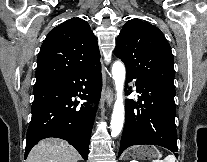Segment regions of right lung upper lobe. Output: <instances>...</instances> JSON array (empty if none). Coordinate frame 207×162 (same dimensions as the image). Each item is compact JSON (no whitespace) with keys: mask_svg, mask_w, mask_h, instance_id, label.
Returning a JSON list of instances; mask_svg holds the SVG:
<instances>
[{"mask_svg":"<svg viewBox=\"0 0 207 162\" xmlns=\"http://www.w3.org/2000/svg\"><path fill=\"white\" fill-rule=\"evenodd\" d=\"M37 63L35 84L100 63L97 40L89 24L72 18L52 29L41 46Z\"/></svg>","mask_w":207,"mask_h":162,"instance_id":"cb5924a9","label":"right lung upper lobe"}]
</instances>
